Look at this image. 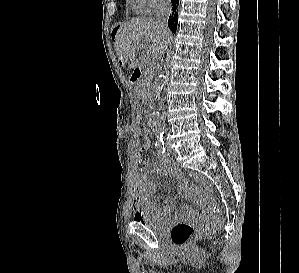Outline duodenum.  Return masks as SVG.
Instances as JSON below:
<instances>
[{
  "label": "duodenum",
  "instance_id": "duodenum-1",
  "mask_svg": "<svg viewBox=\"0 0 299 273\" xmlns=\"http://www.w3.org/2000/svg\"><path fill=\"white\" fill-rule=\"evenodd\" d=\"M142 74H143V68L142 67L136 68L131 74L132 83H136L141 78ZM146 105L149 109H152V104L150 101L146 100Z\"/></svg>",
  "mask_w": 299,
  "mask_h": 273
}]
</instances>
